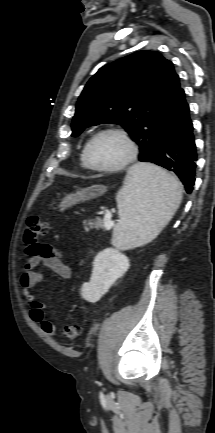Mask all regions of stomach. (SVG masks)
<instances>
[{
  "label": "stomach",
  "instance_id": "stomach-1",
  "mask_svg": "<svg viewBox=\"0 0 215 433\" xmlns=\"http://www.w3.org/2000/svg\"><path fill=\"white\" fill-rule=\"evenodd\" d=\"M107 191V187L104 185H93L81 190L66 195L59 204L61 211L72 207L80 202H84L90 199L102 196Z\"/></svg>",
  "mask_w": 215,
  "mask_h": 433
}]
</instances>
